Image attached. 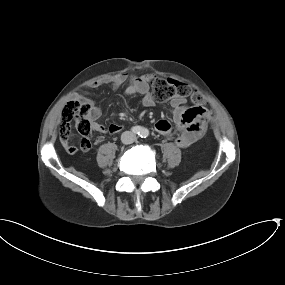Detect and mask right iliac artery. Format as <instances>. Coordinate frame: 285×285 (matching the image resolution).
<instances>
[{"mask_svg":"<svg viewBox=\"0 0 285 285\" xmlns=\"http://www.w3.org/2000/svg\"><path fill=\"white\" fill-rule=\"evenodd\" d=\"M131 130H132L133 133L139 135V134H141V132H142L143 129H142L141 127H139V126H134V127H132Z\"/></svg>","mask_w":285,"mask_h":285,"instance_id":"82829eb1","label":"right iliac artery"}]
</instances>
